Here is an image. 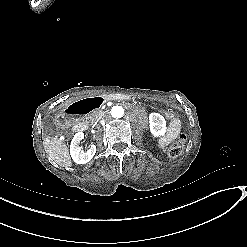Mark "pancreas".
<instances>
[{"label":"pancreas","instance_id":"cf45deb5","mask_svg":"<svg viewBox=\"0 0 247 247\" xmlns=\"http://www.w3.org/2000/svg\"><path fill=\"white\" fill-rule=\"evenodd\" d=\"M102 113H103V111H93V112H91L90 115H89V117H88L90 123L93 124L94 121L97 119V117H99L100 115H102Z\"/></svg>","mask_w":247,"mask_h":247}]
</instances>
